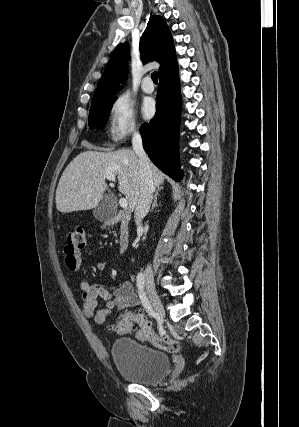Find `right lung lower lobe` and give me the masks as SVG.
<instances>
[{"mask_svg":"<svg viewBox=\"0 0 299 427\" xmlns=\"http://www.w3.org/2000/svg\"><path fill=\"white\" fill-rule=\"evenodd\" d=\"M156 100L154 118L140 128L143 147L161 171L179 181L182 171L178 151L181 110L178 70L160 77Z\"/></svg>","mask_w":299,"mask_h":427,"instance_id":"right-lung-lower-lobe-1","label":"right lung lower lobe"}]
</instances>
